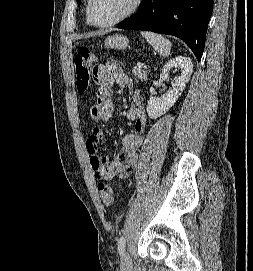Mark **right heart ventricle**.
I'll use <instances>...</instances> for the list:
<instances>
[{
    "instance_id": "e07e8e85",
    "label": "right heart ventricle",
    "mask_w": 253,
    "mask_h": 271,
    "mask_svg": "<svg viewBox=\"0 0 253 271\" xmlns=\"http://www.w3.org/2000/svg\"><path fill=\"white\" fill-rule=\"evenodd\" d=\"M85 19H86V24H87V25H91V22H90L89 19H88L87 13H86Z\"/></svg>"
}]
</instances>
